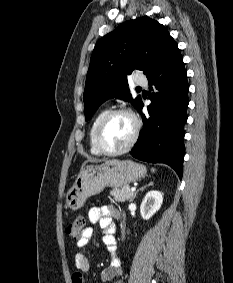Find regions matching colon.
<instances>
[{"label": "colon", "mask_w": 233, "mask_h": 283, "mask_svg": "<svg viewBox=\"0 0 233 283\" xmlns=\"http://www.w3.org/2000/svg\"><path fill=\"white\" fill-rule=\"evenodd\" d=\"M85 219L83 216H77L66 227L65 232L72 238H79L84 230Z\"/></svg>", "instance_id": "obj_1"}]
</instances>
